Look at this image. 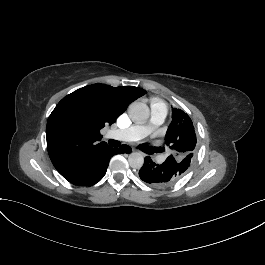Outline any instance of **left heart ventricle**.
<instances>
[{
  "instance_id": "1",
  "label": "left heart ventricle",
  "mask_w": 265,
  "mask_h": 265,
  "mask_svg": "<svg viewBox=\"0 0 265 265\" xmlns=\"http://www.w3.org/2000/svg\"><path fill=\"white\" fill-rule=\"evenodd\" d=\"M151 117H153V116L150 114V117L148 118V120H149ZM146 121H147V120H146ZM146 121H145V122H146ZM145 122H142V123H145ZM142 123H141V124H142ZM155 130H156V129H155ZM155 130H154V131H155ZM148 131H149V130H148ZM154 131H153V132H150V131H149V133H154Z\"/></svg>"
}]
</instances>
